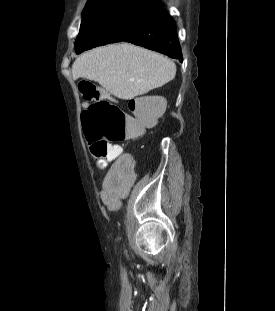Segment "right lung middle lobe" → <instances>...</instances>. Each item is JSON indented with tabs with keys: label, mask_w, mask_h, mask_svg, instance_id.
<instances>
[{
	"label": "right lung middle lobe",
	"mask_w": 275,
	"mask_h": 311,
	"mask_svg": "<svg viewBox=\"0 0 275 311\" xmlns=\"http://www.w3.org/2000/svg\"><path fill=\"white\" fill-rule=\"evenodd\" d=\"M161 7L160 2L147 0H89L75 42L76 53L121 41L134 24Z\"/></svg>",
	"instance_id": "dd1d6c3e"
}]
</instances>
